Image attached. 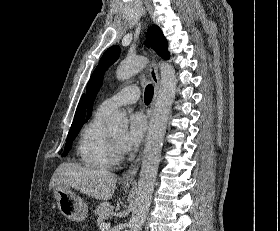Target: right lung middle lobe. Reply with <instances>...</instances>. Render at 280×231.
<instances>
[{
  "label": "right lung middle lobe",
  "instance_id": "right-lung-middle-lobe-1",
  "mask_svg": "<svg viewBox=\"0 0 280 231\" xmlns=\"http://www.w3.org/2000/svg\"><path fill=\"white\" fill-rule=\"evenodd\" d=\"M80 129H81V127L70 129V131L68 133V136H67V142H66V145H65V150H64V153L62 154V156H66L69 153V151L72 147V142L75 139L78 132L80 131Z\"/></svg>",
  "mask_w": 280,
  "mask_h": 231
}]
</instances>
